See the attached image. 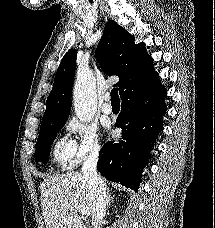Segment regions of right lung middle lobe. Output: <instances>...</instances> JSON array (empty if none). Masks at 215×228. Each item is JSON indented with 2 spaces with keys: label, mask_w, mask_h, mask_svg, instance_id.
<instances>
[{
  "label": "right lung middle lobe",
  "mask_w": 215,
  "mask_h": 228,
  "mask_svg": "<svg viewBox=\"0 0 215 228\" xmlns=\"http://www.w3.org/2000/svg\"><path fill=\"white\" fill-rule=\"evenodd\" d=\"M66 122H57L40 127V135L37 139L35 161L46 163L49 157L51 144Z\"/></svg>",
  "instance_id": "dd1d6c3e"
}]
</instances>
